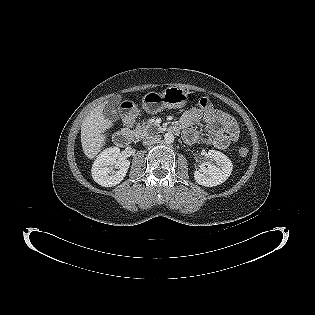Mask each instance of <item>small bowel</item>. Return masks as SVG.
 I'll return each instance as SVG.
<instances>
[{
	"mask_svg": "<svg viewBox=\"0 0 315 315\" xmlns=\"http://www.w3.org/2000/svg\"><path fill=\"white\" fill-rule=\"evenodd\" d=\"M205 124L203 132L195 129L196 125ZM179 129L188 144L203 142L218 149H226L238 138L239 130L236 121L228 113L216 108L203 110L191 108L180 118Z\"/></svg>",
	"mask_w": 315,
	"mask_h": 315,
	"instance_id": "obj_1",
	"label": "small bowel"
}]
</instances>
